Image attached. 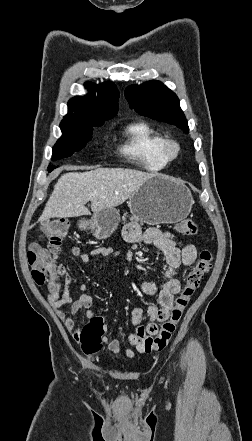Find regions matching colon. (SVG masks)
Instances as JSON below:
<instances>
[{
    "label": "colon",
    "instance_id": "5ec220e1",
    "mask_svg": "<svg viewBox=\"0 0 252 441\" xmlns=\"http://www.w3.org/2000/svg\"><path fill=\"white\" fill-rule=\"evenodd\" d=\"M68 221L56 219L48 222L43 227V238L48 241V246L41 247L37 242L33 243L28 251L27 258L31 265V275L38 285L49 282L53 272L51 255L60 249V245L68 230ZM176 229L183 235L192 236L198 231L196 223L191 219L181 221ZM213 255L208 250H203L195 266L188 272L179 295L170 310L168 318L162 322L160 329L154 336L148 335L146 328L137 326L136 335L142 343L143 352L150 353L161 351L168 345L176 325L181 319L182 313L188 305L196 289L200 286L205 275L213 265ZM107 330L105 319L95 316L82 328L80 343L82 350L87 355L97 353L101 348L102 338Z\"/></svg>",
    "mask_w": 252,
    "mask_h": 441
}]
</instances>
